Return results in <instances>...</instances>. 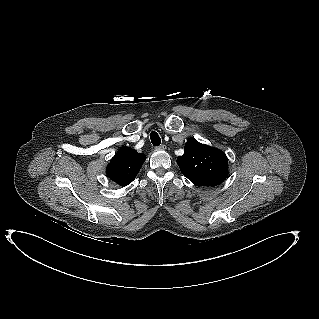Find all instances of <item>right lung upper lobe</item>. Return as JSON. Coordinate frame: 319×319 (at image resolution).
I'll return each instance as SVG.
<instances>
[{
	"instance_id": "cb5924a9",
	"label": "right lung upper lobe",
	"mask_w": 319,
	"mask_h": 319,
	"mask_svg": "<svg viewBox=\"0 0 319 319\" xmlns=\"http://www.w3.org/2000/svg\"><path fill=\"white\" fill-rule=\"evenodd\" d=\"M144 161V154L122 147L111 159L106 173L117 184L126 186L134 180Z\"/></svg>"
}]
</instances>
